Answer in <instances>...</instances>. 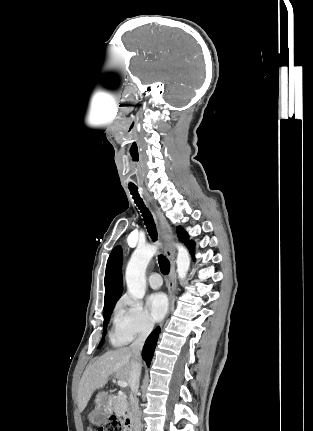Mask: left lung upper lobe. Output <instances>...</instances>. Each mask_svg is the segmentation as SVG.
<instances>
[{
	"label": "left lung upper lobe",
	"instance_id": "obj_1",
	"mask_svg": "<svg viewBox=\"0 0 313 431\" xmlns=\"http://www.w3.org/2000/svg\"><path fill=\"white\" fill-rule=\"evenodd\" d=\"M176 232L178 234V238L182 242H185V244H187L190 241L188 240V235L184 232V230L180 226L177 227Z\"/></svg>",
	"mask_w": 313,
	"mask_h": 431
}]
</instances>
